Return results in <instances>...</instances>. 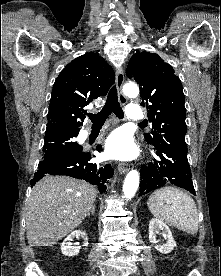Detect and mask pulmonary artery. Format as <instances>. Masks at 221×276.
Returning <instances> with one entry per match:
<instances>
[{
    "mask_svg": "<svg viewBox=\"0 0 221 276\" xmlns=\"http://www.w3.org/2000/svg\"><path fill=\"white\" fill-rule=\"evenodd\" d=\"M127 117L131 120L138 121L143 119L144 114L140 106L136 104H130L126 109Z\"/></svg>",
    "mask_w": 221,
    "mask_h": 276,
    "instance_id": "1",
    "label": "pulmonary artery"
}]
</instances>
